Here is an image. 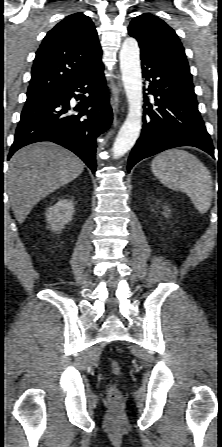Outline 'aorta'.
I'll return each instance as SVG.
<instances>
[{
  "instance_id": "aorta-1",
  "label": "aorta",
  "mask_w": 222,
  "mask_h": 447,
  "mask_svg": "<svg viewBox=\"0 0 222 447\" xmlns=\"http://www.w3.org/2000/svg\"><path fill=\"white\" fill-rule=\"evenodd\" d=\"M120 70L128 100V115L120 128L113 144L115 159L123 156L135 144L139 137L142 120V74L140 67V49L136 39L126 38L120 53Z\"/></svg>"
}]
</instances>
